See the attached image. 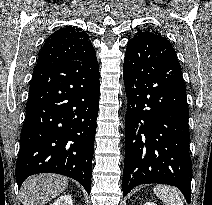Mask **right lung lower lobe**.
Returning <instances> with one entry per match:
<instances>
[{
  "instance_id": "obj_1",
  "label": "right lung lower lobe",
  "mask_w": 212,
  "mask_h": 205,
  "mask_svg": "<svg viewBox=\"0 0 212 205\" xmlns=\"http://www.w3.org/2000/svg\"><path fill=\"white\" fill-rule=\"evenodd\" d=\"M99 89L97 60L34 69L16 164L18 188L30 175L50 172L79 181L89 194Z\"/></svg>"
}]
</instances>
